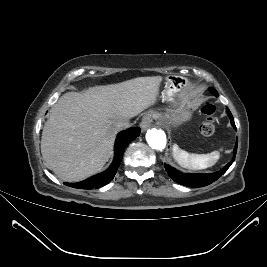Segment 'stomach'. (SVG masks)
<instances>
[{"mask_svg": "<svg viewBox=\"0 0 267 267\" xmlns=\"http://www.w3.org/2000/svg\"><path fill=\"white\" fill-rule=\"evenodd\" d=\"M188 84L189 82L185 77L178 75L167 76L163 98L169 99L174 95H185ZM181 112L183 119L188 120L191 117V113L188 110L183 108Z\"/></svg>", "mask_w": 267, "mask_h": 267, "instance_id": "stomach-1", "label": "stomach"}]
</instances>
